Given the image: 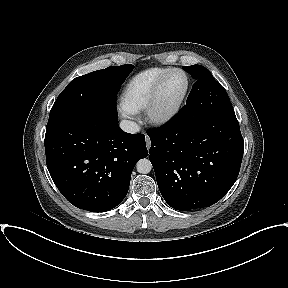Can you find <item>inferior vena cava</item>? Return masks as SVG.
<instances>
[{
    "mask_svg": "<svg viewBox=\"0 0 288 288\" xmlns=\"http://www.w3.org/2000/svg\"><path fill=\"white\" fill-rule=\"evenodd\" d=\"M120 127L123 131L128 133H138L140 131L139 125L130 120H122L120 122Z\"/></svg>",
    "mask_w": 288,
    "mask_h": 288,
    "instance_id": "1",
    "label": "inferior vena cava"
}]
</instances>
